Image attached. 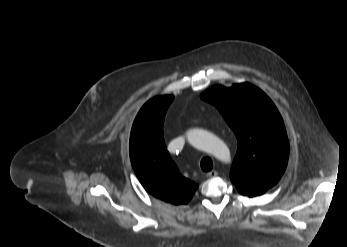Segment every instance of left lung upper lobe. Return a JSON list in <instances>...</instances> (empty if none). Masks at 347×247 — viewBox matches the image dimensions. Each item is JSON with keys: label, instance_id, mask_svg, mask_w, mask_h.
Returning a JSON list of instances; mask_svg holds the SVG:
<instances>
[{"label": "left lung upper lobe", "instance_id": "5c2ea615", "mask_svg": "<svg viewBox=\"0 0 347 247\" xmlns=\"http://www.w3.org/2000/svg\"><path fill=\"white\" fill-rule=\"evenodd\" d=\"M201 98L216 106L236 135L233 184L249 197L265 193L279 181L289 157L286 129L274 103L249 83L214 85Z\"/></svg>", "mask_w": 347, "mask_h": 247}]
</instances>
